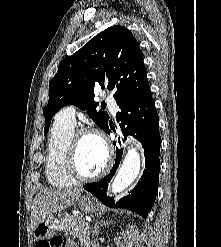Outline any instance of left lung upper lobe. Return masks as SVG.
Instances as JSON below:
<instances>
[{
    "instance_id": "5c2ea615",
    "label": "left lung upper lobe",
    "mask_w": 221,
    "mask_h": 247,
    "mask_svg": "<svg viewBox=\"0 0 221 247\" xmlns=\"http://www.w3.org/2000/svg\"><path fill=\"white\" fill-rule=\"evenodd\" d=\"M97 85L113 90L118 105L151 93L142 51L131 31L123 26L107 28L60 63L49 83V101L43 110L44 135L52 117L66 105L87 110L105 131L108 114L97 111L99 103L93 100Z\"/></svg>"
}]
</instances>
